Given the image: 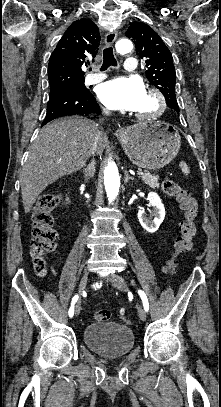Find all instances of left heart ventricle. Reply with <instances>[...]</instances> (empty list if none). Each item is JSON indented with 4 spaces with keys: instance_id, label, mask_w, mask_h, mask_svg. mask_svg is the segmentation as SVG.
Returning a JSON list of instances; mask_svg holds the SVG:
<instances>
[{
    "instance_id": "1",
    "label": "left heart ventricle",
    "mask_w": 221,
    "mask_h": 407,
    "mask_svg": "<svg viewBox=\"0 0 221 407\" xmlns=\"http://www.w3.org/2000/svg\"><path fill=\"white\" fill-rule=\"evenodd\" d=\"M154 109H155V101L151 96H149L146 93L145 98H144L141 106L137 110V112L146 113V112H151Z\"/></svg>"
}]
</instances>
